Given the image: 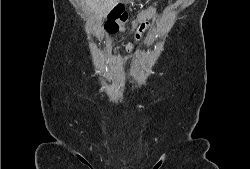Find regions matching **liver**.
<instances>
[{"mask_svg":"<svg viewBox=\"0 0 250 169\" xmlns=\"http://www.w3.org/2000/svg\"><path fill=\"white\" fill-rule=\"evenodd\" d=\"M119 0H81L82 6H85L90 12H96L99 16H105L109 10L116 6Z\"/></svg>","mask_w":250,"mask_h":169,"instance_id":"1","label":"liver"}]
</instances>
